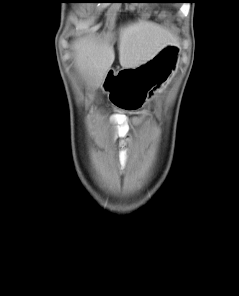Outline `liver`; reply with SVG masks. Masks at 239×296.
I'll use <instances>...</instances> for the list:
<instances>
[{
	"instance_id": "obj_1",
	"label": "liver",
	"mask_w": 239,
	"mask_h": 296,
	"mask_svg": "<svg viewBox=\"0 0 239 296\" xmlns=\"http://www.w3.org/2000/svg\"><path fill=\"white\" fill-rule=\"evenodd\" d=\"M110 38L89 36L73 44L75 62L80 73L99 87L111 68L115 53ZM176 43L166 29L148 21L130 23L119 30V62L125 69L136 68L149 61L165 45Z\"/></svg>"
}]
</instances>
